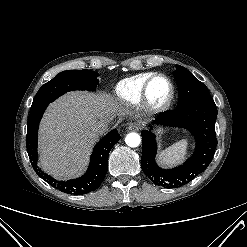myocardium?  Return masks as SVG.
<instances>
[{"mask_svg": "<svg viewBox=\"0 0 247 247\" xmlns=\"http://www.w3.org/2000/svg\"><path fill=\"white\" fill-rule=\"evenodd\" d=\"M163 78L168 82L170 91L168 97L162 102H154L150 97V87L152 83L158 79ZM175 96V87L172 80L163 73L153 74L145 83L142 91V103L144 108L151 113H161L166 111L173 102Z\"/></svg>", "mask_w": 247, "mask_h": 247, "instance_id": "myocardium-1", "label": "myocardium"}]
</instances>
